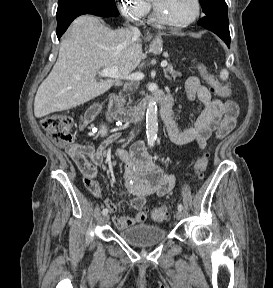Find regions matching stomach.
I'll use <instances>...</instances> for the list:
<instances>
[{
  "label": "stomach",
  "instance_id": "stomach-1",
  "mask_svg": "<svg viewBox=\"0 0 273 288\" xmlns=\"http://www.w3.org/2000/svg\"><path fill=\"white\" fill-rule=\"evenodd\" d=\"M161 50H162V38L158 36L151 42L150 52L154 54H159Z\"/></svg>",
  "mask_w": 273,
  "mask_h": 288
}]
</instances>
